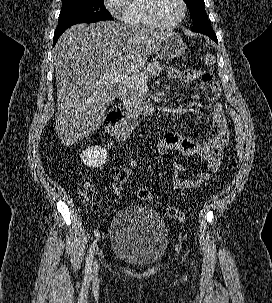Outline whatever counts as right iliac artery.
<instances>
[{"label": "right iliac artery", "instance_id": "82829eb1", "mask_svg": "<svg viewBox=\"0 0 272 303\" xmlns=\"http://www.w3.org/2000/svg\"><path fill=\"white\" fill-rule=\"evenodd\" d=\"M96 245H97V240H95L93 242V244L91 245V247L88 251L87 258H86V266H85V274L86 275H89V273L91 272L93 256H94V251H95Z\"/></svg>", "mask_w": 272, "mask_h": 303}]
</instances>
